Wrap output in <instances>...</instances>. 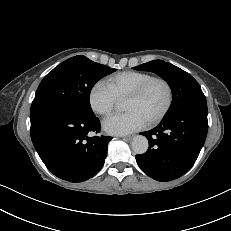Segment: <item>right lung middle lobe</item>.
Here are the masks:
<instances>
[{
	"mask_svg": "<svg viewBox=\"0 0 231 231\" xmlns=\"http://www.w3.org/2000/svg\"><path fill=\"white\" fill-rule=\"evenodd\" d=\"M114 71L116 69L82 55L59 64L38 86L31 106V127L61 110L94 116L89 101L90 91L98 80Z\"/></svg>",
	"mask_w": 231,
	"mask_h": 231,
	"instance_id": "dd1d6c3e",
	"label": "right lung middle lobe"
}]
</instances>
